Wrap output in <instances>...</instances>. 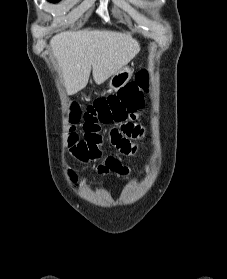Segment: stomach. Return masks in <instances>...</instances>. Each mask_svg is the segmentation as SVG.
<instances>
[{"label": "stomach", "mask_w": 227, "mask_h": 279, "mask_svg": "<svg viewBox=\"0 0 227 279\" xmlns=\"http://www.w3.org/2000/svg\"><path fill=\"white\" fill-rule=\"evenodd\" d=\"M132 73V68L127 65L114 73L108 82L109 91H118L124 87L131 79Z\"/></svg>", "instance_id": "0dacf381"}]
</instances>
